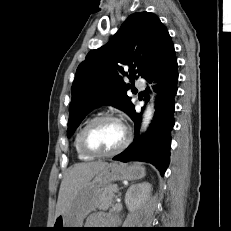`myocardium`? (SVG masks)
Listing matches in <instances>:
<instances>
[{"mask_svg":"<svg viewBox=\"0 0 231 231\" xmlns=\"http://www.w3.org/2000/svg\"><path fill=\"white\" fill-rule=\"evenodd\" d=\"M105 121H115L122 125L125 131V138L123 142L114 150L108 152H97L89 147L87 143V136L90 130L95 127L97 124ZM132 138L131 131L128 127L122 122V120L115 115H101L93 118L82 130L80 135V147L82 151L92 157H111L122 152L130 143Z\"/></svg>","mask_w":231,"mask_h":231,"instance_id":"1","label":"myocardium"}]
</instances>
